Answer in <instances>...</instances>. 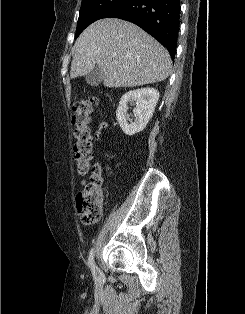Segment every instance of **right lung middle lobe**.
Wrapping results in <instances>:
<instances>
[{"mask_svg": "<svg viewBox=\"0 0 245 314\" xmlns=\"http://www.w3.org/2000/svg\"><path fill=\"white\" fill-rule=\"evenodd\" d=\"M126 1L128 0H83L79 11L75 38H77L87 26L103 18L106 14Z\"/></svg>", "mask_w": 245, "mask_h": 314, "instance_id": "dd1d6c3e", "label": "right lung middle lobe"}]
</instances>
